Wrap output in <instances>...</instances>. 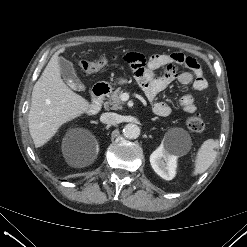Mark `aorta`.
<instances>
[{"label": "aorta", "mask_w": 247, "mask_h": 247, "mask_svg": "<svg viewBox=\"0 0 247 247\" xmlns=\"http://www.w3.org/2000/svg\"><path fill=\"white\" fill-rule=\"evenodd\" d=\"M123 135L128 139H136L140 135V128L136 124H127L123 128Z\"/></svg>", "instance_id": "762f6f07"}]
</instances>
